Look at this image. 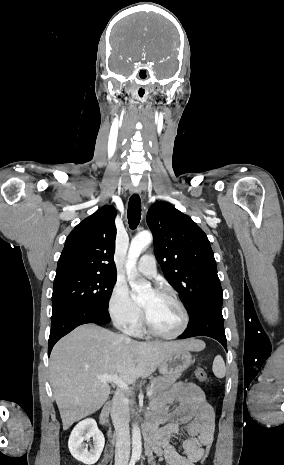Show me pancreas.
<instances>
[{
  "label": "pancreas",
  "instance_id": "cf45deb5",
  "mask_svg": "<svg viewBox=\"0 0 284 465\" xmlns=\"http://www.w3.org/2000/svg\"><path fill=\"white\" fill-rule=\"evenodd\" d=\"M180 373H168V375H163V377H157V379H152L150 385L147 387V391H152V395L150 399H155L158 393H163V391H167L171 385L176 383L177 379H179ZM131 415H137L135 413V409H130Z\"/></svg>",
  "mask_w": 284,
  "mask_h": 465
}]
</instances>
